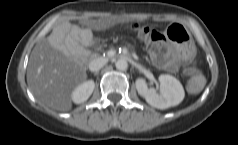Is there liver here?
I'll list each match as a JSON object with an SVG mask.
<instances>
[{
	"label": "liver",
	"mask_w": 238,
	"mask_h": 145,
	"mask_svg": "<svg viewBox=\"0 0 238 145\" xmlns=\"http://www.w3.org/2000/svg\"><path fill=\"white\" fill-rule=\"evenodd\" d=\"M133 19L130 14L106 13L98 19H83L80 23L86 29L69 22L54 27L52 34L39 40L31 52L27 66V83L31 92L44 105L58 111H69L72 108L71 93L85 81L88 64V59L75 50L70 39Z\"/></svg>",
	"instance_id": "liver-1"
}]
</instances>
